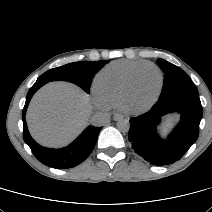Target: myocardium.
I'll use <instances>...</instances> for the list:
<instances>
[{
  "label": "myocardium",
  "instance_id": "myocardium-1",
  "mask_svg": "<svg viewBox=\"0 0 212 212\" xmlns=\"http://www.w3.org/2000/svg\"><path fill=\"white\" fill-rule=\"evenodd\" d=\"M154 69L157 74L159 75V87H158V90L155 94V96L153 97V99L147 104L145 105L143 108H133V107H130L128 105V99L131 95V92L134 88V85H135V82H136V79L139 75V73L144 70V69ZM163 82H164V76H163V73L162 71L160 70V68L158 66H156L155 64L153 63H148V64H145V65H142L140 67H138L137 69H135L130 77L128 78L127 82H126V85L123 89V92H122V95H121V98H120V102H119V107L120 109L127 113V114H139L143 111H145L146 109H148L149 107H151L158 99L160 93H161V90H162V86H163Z\"/></svg>",
  "mask_w": 212,
  "mask_h": 212
}]
</instances>
